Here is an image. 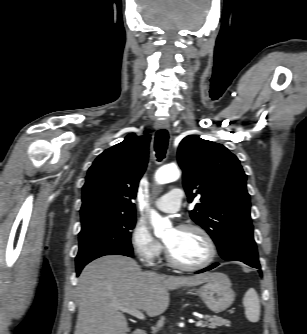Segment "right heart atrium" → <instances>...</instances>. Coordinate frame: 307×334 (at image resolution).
I'll list each match as a JSON object with an SVG mask.
<instances>
[{"mask_svg": "<svg viewBox=\"0 0 307 334\" xmlns=\"http://www.w3.org/2000/svg\"><path fill=\"white\" fill-rule=\"evenodd\" d=\"M132 250L135 256L144 264H153L162 254V244L152 235L149 227L143 222H137L130 236Z\"/></svg>", "mask_w": 307, "mask_h": 334, "instance_id": "d8ad5b80", "label": "right heart atrium"}]
</instances>
